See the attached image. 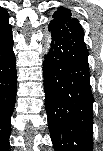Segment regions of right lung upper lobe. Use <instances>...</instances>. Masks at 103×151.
<instances>
[{
    "label": "right lung upper lobe",
    "mask_w": 103,
    "mask_h": 151,
    "mask_svg": "<svg viewBox=\"0 0 103 151\" xmlns=\"http://www.w3.org/2000/svg\"><path fill=\"white\" fill-rule=\"evenodd\" d=\"M8 24V22L7 21H1V23H0V29L1 28H3L5 25H7Z\"/></svg>",
    "instance_id": "right-lung-upper-lobe-1"
}]
</instances>
